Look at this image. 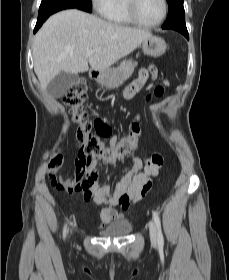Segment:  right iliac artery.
Segmentation results:
<instances>
[{
	"instance_id": "1",
	"label": "right iliac artery",
	"mask_w": 229,
	"mask_h": 280,
	"mask_svg": "<svg viewBox=\"0 0 229 280\" xmlns=\"http://www.w3.org/2000/svg\"><path fill=\"white\" fill-rule=\"evenodd\" d=\"M66 231H67V225L64 226V230H63V237L66 236Z\"/></svg>"
}]
</instances>
